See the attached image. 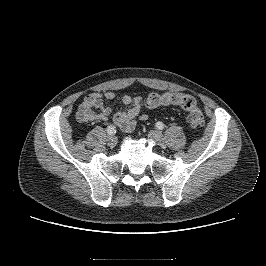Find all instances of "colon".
I'll return each mask as SVG.
<instances>
[{
  "instance_id": "colon-1",
  "label": "colon",
  "mask_w": 266,
  "mask_h": 266,
  "mask_svg": "<svg viewBox=\"0 0 266 266\" xmlns=\"http://www.w3.org/2000/svg\"><path fill=\"white\" fill-rule=\"evenodd\" d=\"M142 103L148 108H157L161 106L180 107L187 113V122L191 128L197 129L203 125V113L196 98L191 95L178 92L151 93Z\"/></svg>"
}]
</instances>
